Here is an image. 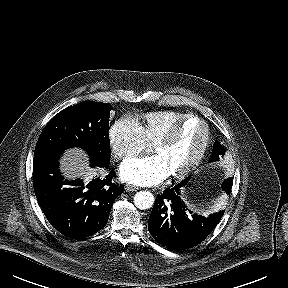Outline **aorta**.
I'll list each match as a JSON object with an SVG mask.
<instances>
[{"label":"aorta","instance_id":"762f6f07","mask_svg":"<svg viewBox=\"0 0 288 288\" xmlns=\"http://www.w3.org/2000/svg\"><path fill=\"white\" fill-rule=\"evenodd\" d=\"M134 204L140 210L149 209L154 204V196L149 191H139L134 196Z\"/></svg>","mask_w":288,"mask_h":288}]
</instances>
